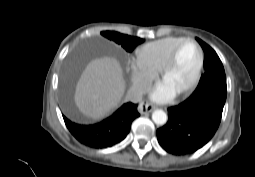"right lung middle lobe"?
<instances>
[{
	"instance_id": "dd1d6c3e",
	"label": "right lung middle lobe",
	"mask_w": 255,
	"mask_h": 177,
	"mask_svg": "<svg viewBox=\"0 0 255 177\" xmlns=\"http://www.w3.org/2000/svg\"><path fill=\"white\" fill-rule=\"evenodd\" d=\"M101 35L120 44L127 52L133 51L138 44L144 41L141 38L120 34L115 31H103ZM65 96L67 98V93H65Z\"/></svg>"
}]
</instances>
